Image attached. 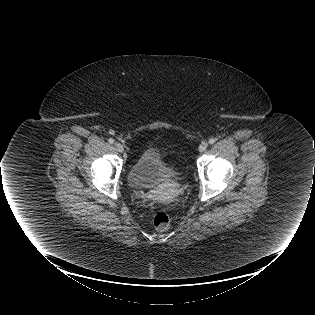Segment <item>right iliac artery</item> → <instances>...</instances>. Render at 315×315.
Segmentation results:
<instances>
[{
    "label": "right iliac artery",
    "mask_w": 315,
    "mask_h": 315,
    "mask_svg": "<svg viewBox=\"0 0 315 315\" xmlns=\"http://www.w3.org/2000/svg\"><path fill=\"white\" fill-rule=\"evenodd\" d=\"M108 142H109L110 144H113V143H114V140H113L112 138H109V139H108Z\"/></svg>",
    "instance_id": "1"
}]
</instances>
